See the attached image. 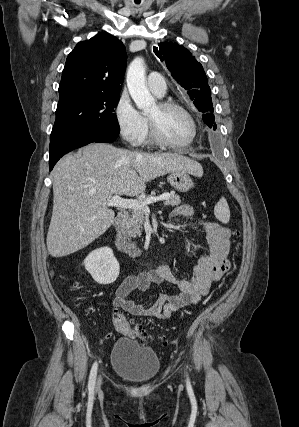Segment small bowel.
<instances>
[{
	"mask_svg": "<svg viewBox=\"0 0 299 427\" xmlns=\"http://www.w3.org/2000/svg\"><path fill=\"white\" fill-rule=\"evenodd\" d=\"M172 217L192 218L193 210L188 205H181L173 210ZM201 225L209 251L198 259L190 278L179 277L168 265L161 264L153 270L126 277L116 290L113 306L134 316L167 320L182 307L195 304L206 296L211 285L221 279L230 267L228 252L231 231L215 222L201 221ZM153 284H170L176 291L161 293L147 305L128 298L134 290L146 292Z\"/></svg>",
	"mask_w": 299,
	"mask_h": 427,
	"instance_id": "1",
	"label": "small bowel"
}]
</instances>
